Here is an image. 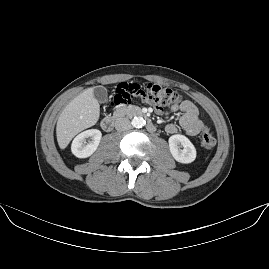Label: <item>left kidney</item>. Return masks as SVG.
<instances>
[{
  "label": "left kidney",
  "instance_id": "1",
  "mask_svg": "<svg viewBox=\"0 0 269 269\" xmlns=\"http://www.w3.org/2000/svg\"><path fill=\"white\" fill-rule=\"evenodd\" d=\"M170 150L179 162L189 163L196 157V149L193 144L183 135H173L169 138Z\"/></svg>",
  "mask_w": 269,
  "mask_h": 269
}]
</instances>
